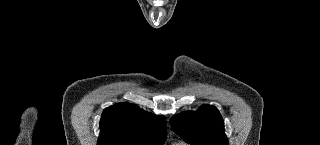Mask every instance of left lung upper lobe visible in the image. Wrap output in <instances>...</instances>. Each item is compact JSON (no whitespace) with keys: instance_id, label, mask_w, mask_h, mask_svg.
I'll use <instances>...</instances> for the list:
<instances>
[{"instance_id":"obj_1","label":"left lung upper lobe","mask_w":320,"mask_h":145,"mask_svg":"<svg viewBox=\"0 0 320 145\" xmlns=\"http://www.w3.org/2000/svg\"><path fill=\"white\" fill-rule=\"evenodd\" d=\"M170 125L177 135L193 145H228L224 122L214 106L203 105L195 112L175 115Z\"/></svg>"}]
</instances>
